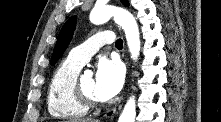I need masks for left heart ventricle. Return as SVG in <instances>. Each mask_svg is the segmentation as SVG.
I'll use <instances>...</instances> for the list:
<instances>
[{
    "label": "left heart ventricle",
    "instance_id": "b2bd125f",
    "mask_svg": "<svg viewBox=\"0 0 221 122\" xmlns=\"http://www.w3.org/2000/svg\"><path fill=\"white\" fill-rule=\"evenodd\" d=\"M81 85L83 90L91 96L93 99L98 100L94 95V79L91 77H83L81 79Z\"/></svg>",
    "mask_w": 221,
    "mask_h": 122
}]
</instances>
